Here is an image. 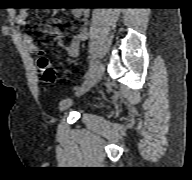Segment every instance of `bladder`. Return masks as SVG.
Masks as SVG:
<instances>
[{"instance_id": "31cf9c89", "label": "bladder", "mask_w": 192, "mask_h": 180, "mask_svg": "<svg viewBox=\"0 0 192 180\" xmlns=\"http://www.w3.org/2000/svg\"><path fill=\"white\" fill-rule=\"evenodd\" d=\"M77 105V102L72 97H64L58 102V108L62 111L71 109Z\"/></svg>"}]
</instances>
